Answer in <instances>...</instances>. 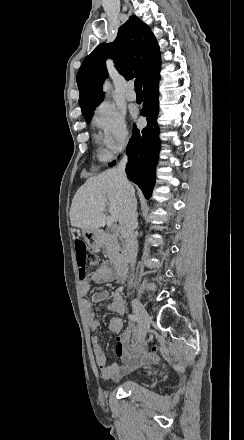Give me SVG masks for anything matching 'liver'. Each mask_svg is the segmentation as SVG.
Here are the masks:
<instances>
[{
  "instance_id": "obj_1",
  "label": "liver",
  "mask_w": 244,
  "mask_h": 440,
  "mask_svg": "<svg viewBox=\"0 0 244 440\" xmlns=\"http://www.w3.org/2000/svg\"><path fill=\"white\" fill-rule=\"evenodd\" d=\"M123 192L116 168L88 178L72 200L69 212L71 226L81 230H99L103 226L106 206L110 216L118 222L123 206Z\"/></svg>"
}]
</instances>
